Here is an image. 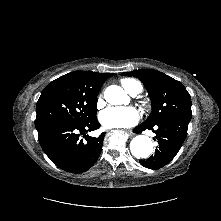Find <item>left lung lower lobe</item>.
<instances>
[{"mask_svg":"<svg viewBox=\"0 0 221 221\" xmlns=\"http://www.w3.org/2000/svg\"><path fill=\"white\" fill-rule=\"evenodd\" d=\"M188 124L189 121L186 120H168L155 126L140 124L134 128L135 133L152 130L158 141L154 155L140 160V164L149 169H159L168 164L180 150L187 135Z\"/></svg>","mask_w":221,"mask_h":221,"instance_id":"0a47b994","label":"left lung lower lobe"}]
</instances>
